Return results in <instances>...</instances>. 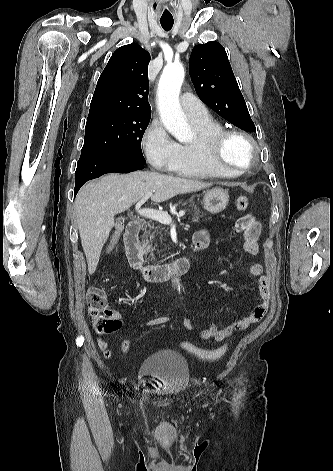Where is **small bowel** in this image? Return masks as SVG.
Here are the masks:
<instances>
[{
  "label": "small bowel",
  "instance_id": "obj_1",
  "mask_svg": "<svg viewBox=\"0 0 333 471\" xmlns=\"http://www.w3.org/2000/svg\"><path fill=\"white\" fill-rule=\"evenodd\" d=\"M261 232L260 223L251 215H245L238 219L235 224L233 236L242 234L244 238L243 248L246 253L256 255L258 253V239ZM193 244L195 249L202 250L209 245V234L206 230H198L193 236ZM250 273L258 278V290L261 301L255 305L251 313L242 317L240 320L219 329L216 324L211 323L208 327L200 332V336L204 340L215 339L216 341H223L234 332L242 331L250 325L259 322L267 313L270 300H271V284L269 277L265 274L264 268L259 263H253L250 266ZM117 319H120V314L117 312L112 313ZM175 320L169 316L153 317L146 321L147 326H160L165 325ZM180 325L190 331L193 325L188 318H183L178 321ZM97 345L103 352L106 359L112 357V351L108 347L107 341L103 337H98Z\"/></svg>",
  "mask_w": 333,
  "mask_h": 471
}]
</instances>
